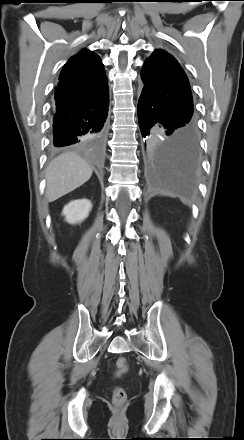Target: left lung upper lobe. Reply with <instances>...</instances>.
<instances>
[{"instance_id":"obj_1","label":"left lung upper lobe","mask_w":244,"mask_h":440,"mask_svg":"<svg viewBox=\"0 0 244 440\" xmlns=\"http://www.w3.org/2000/svg\"><path fill=\"white\" fill-rule=\"evenodd\" d=\"M144 87L193 118V100L188 79L177 60L164 50H156L141 71Z\"/></svg>"}]
</instances>
